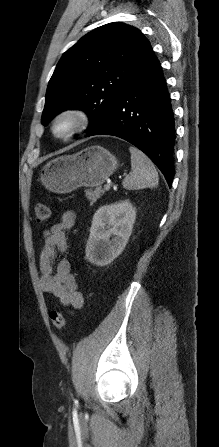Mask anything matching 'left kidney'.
Segmentation results:
<instances>
[{
  "instance_id": "1",
  "label": "left kidney",
  "mask_w": 219,
  "mask_h": 447,
  "mask_svg": "<svg viewBox=\"0 0 219 447\" xmlns=\"http://www.w3.org/2000/svg\"><path fill=\"white\" fill-rule=\"evenodd\" d=\"M135 219L136 210L128 200L100 207L93 216L86 244L88 261L106 266L117 258L128 242Z\"/></svg>"
}]
</instances>
